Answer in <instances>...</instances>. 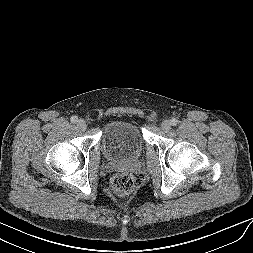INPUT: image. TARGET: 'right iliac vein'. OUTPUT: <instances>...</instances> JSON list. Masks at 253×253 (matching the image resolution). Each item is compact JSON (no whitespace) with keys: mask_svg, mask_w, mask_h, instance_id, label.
<instances>
[{"mask_svg":"<svg viewBox=\"0 0 253 253\" xmlns=\"http://www.w3.org/2000/svg\"><path fill=\"white\" fill-rule=\"evenodd\" d=\"M77 127H78L80 130L84 131V130H86V128H87V124H86V122H85L83 119H80V120H78V122H77Z\"/></svg>","mask_w":253,"mask_h":253,"instance_id":"obj_1","label":"right iliac vein"}]
</instances>
